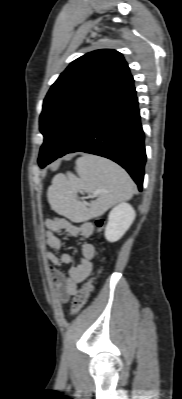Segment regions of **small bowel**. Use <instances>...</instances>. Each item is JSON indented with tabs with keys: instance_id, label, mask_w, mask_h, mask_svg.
I'll list each match as a JSON object with an SVG mask.
<instances>
[{
	"instance_id": "small-bowel-1",
	"label": "small bowel",
	"mask_w": 182,
	"mask_h": 399,
	"mask_svg": "<svg viewBox=\"0 0 182 399\" xmlns=\"http://www.w3.org/2000/svg\"><path fill=\"white\" fill-rule=\"evenodd\" d=\"M46 241L50 249L60 251L63 248V240L60 234L72 236L90 237L94 232V225L90 222L80 224L58 217L46 220ZM82 258L79 263L70 267L67 272L60 268L68 265L72 257L67 252L56 255L53 251L45 252V258L49 262V273L52 284L59 301L65 303L77 292V285L84 281L91 273L93 260L96 256V248L92 243L83 242L80 245Z\"/></svg>"
}]
</instances>
